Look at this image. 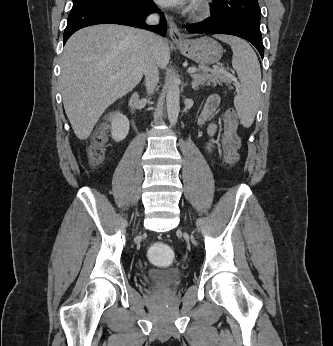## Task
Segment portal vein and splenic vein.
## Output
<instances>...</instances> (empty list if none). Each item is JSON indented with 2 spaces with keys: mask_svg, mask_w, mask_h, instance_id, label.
I'll list each match as a JSON object with an SVG mask.
<instances>
[{
  "mask_svg": "<svg viewBox=\"0 0 333 346\" xmlns=\"http://www.w3.org/2000/svg\"><path fill=\"white\" fill-rule=\"evenodd\" d=\"M216 69H214V70H210V71H215ZM220 72H222V73H227L226 71H225V69H223V68H220V69H218ZM188 73H194V72H196L197 71V69L196 68H194V67H190V68H188Z\"/></svg>",
  "mask_w": 333,
  "mask_h": 346,
  "instance_id": "obj_1",
  "label": "portal vein and splenic vein"
}]
</instances>
